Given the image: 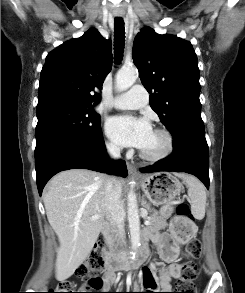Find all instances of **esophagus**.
Returning a JSON list of instances; mask_svg holds the SVG:
<instances>
[{
	"instance_id": "1",
	"label": "esophagus",
	"mask_w": 245,
	"mask_h": 293,
	"mask_svg": "<svg viewBox=\"0 0 245 293\" xmlns=\"http://www.w3.org/2000/svg\"><path fill=\"white\" fill-rule=\"evenodd\" d=\"M127 169H128V172L131 176H137L138 175V171H137V168L135 165L127 162Z\"/></svg>"
}]
</instances>
